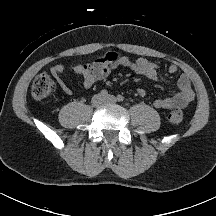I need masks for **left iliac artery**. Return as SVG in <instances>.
<instances>
[{
	"instance_id": "1",
	"label": "left iliac artery",
	"mask_w": 216,
	"mask_h": 216,
	"mask_svg": "<svg viewBox=\"0 0 216 216\" xmlns=\"http://www.w3.org/2000/svg\"><path fill=\"white\" fill-rule=\"evenodd\" d=\"M117 100H118L119 102H122V101L124 100V97H123L122 95H118V96H117Z\"/></svg>"
}]
</instances>
